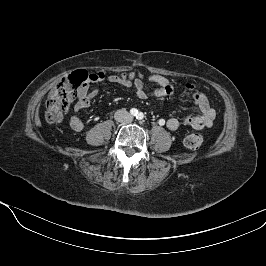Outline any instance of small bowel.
I'll list each match as a JSON object with an SVG mask.
<instances>
[{"label":"small bowel","instance_id":"c3829d8e","mask_svg":"<svg viewBox=\"0 0 266 266\" xmlns=\"http://www.w3.org/2000/svg\"><path fill=\"white\" fill-rule=\"evenodd\" d=\"M148 80L158 85V88L152 91H146L144 89L143 81L141 79H135L134 82L126 80L124 77L117 75H108L102 71L93 73L94 82H109L114 84H120L126 87L133 86L136 95L142 100L149 99L151 97H164L171 95L175 91V86L170 82L168 78L159 74H150ZM184 88L193 92V103L199 110L198 115H190L182 120L177 118H170L166 120L165 125L169 130H177L181 125L190 126L194 129L209 128L213 125L215 119V111L210 106L207 97L195 90L194 86L190 83L185 84ZM98 94V89H89L88 86H84L79 91V99L74 105V112L86 109L90 106L91 100ZM70 127L75 131H82L84 129V123L77 116L73 115L70 118Z\"/></svg>","mask_w":266,"mask_h":266}]
</instances>
